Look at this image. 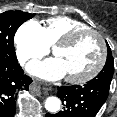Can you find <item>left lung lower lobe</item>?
<instances>
[{
    "instance_id": "left-lung-lower-lobe-1",
    "label": "left lung lower lobe",
    "mask_w": 117,
    "mask_h": 117,
    "mask_svg": "<svg viewBox=\"0 0 117 117\" xmlns=\"http://www.w3.org/2000/svg\"><path fill=\"white\" fill-rule=\"evenodd\" d=\"M57 90L64 108L56 114H46V117H95L109 93V88L92 80L82 86H62Z\"/></svg>"
}]
</instances>
